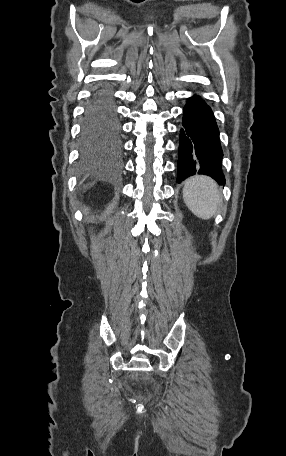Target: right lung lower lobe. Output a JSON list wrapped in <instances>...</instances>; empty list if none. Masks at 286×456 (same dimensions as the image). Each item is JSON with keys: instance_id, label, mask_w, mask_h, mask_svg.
Masks as SVG:
<instances>
[{"instance_id": "1", "label": "right lung lower lobe", "mask_w": 286, "mask_h": 456, "mask_svg": "<svg viewBox=\"0 0 286 456\" xmlns=\"http://www.w3.org/2000/svg\"><path fill=\"white\" fill-rule=\"evenodd\" d=\"M87 118H94L108 124H114L116 132L118 131L119 124L115 111L114 98L112 91L108 87L103 86L95 91L86 109L85 119ZM105 134L113 135L115 133L108 131Z\"/></svg>"}]
</instances>
